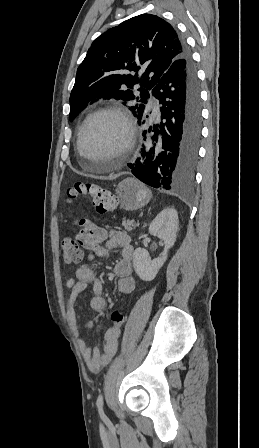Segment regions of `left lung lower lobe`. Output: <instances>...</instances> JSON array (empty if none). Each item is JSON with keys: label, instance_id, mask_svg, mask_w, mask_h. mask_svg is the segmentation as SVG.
Returning a JSON list of instances; mask_svg holds the SVG:
<instances>
[{"label": "left lung lower lobe", "instance_id": "0a47b994", "mask_svg": "<svg viewBox=\"0 0 259 448\" xmlns=\"http://www.w3.org/2000/svg\"><path fill=\"white\" fill-rule=\"evenodd\" d=\"M182 56L153 87L162 105L159 124L150 126L152 145L128 167L135 177L154 188L180 192L193 184L201 137V101L196 69L183 40ZM149 118H138L139 125ZM147 131L143 132V136ZM146 137H144V140Z\"/></svg>", "mask_w": 259, "mask_h": 448}]
</instances>
